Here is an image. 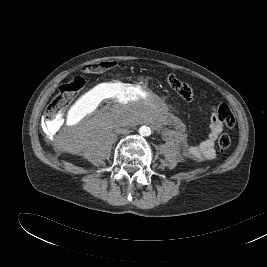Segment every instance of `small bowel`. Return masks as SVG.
I'll return each mask as SVG.
<instances>
[{
  "label": "small bowel",
  "instance_id": "1",
  "mask_svg": "<svg viewBox=\"0 0 267 267\" xmlns=\"http://www.w3.org/2000/svg\"><path fill=\"white\" fill-rule=\"evenodd\" d=\"M224 125L218 115L217 107H212L209 124L210 132L207 139L195 145L183 143L184 154L198 161L213 159L216 156L215 142L223 131Z\"/></svg>",
  "mask_w": 267,
  "mask_h": 267
}]
</instances>
